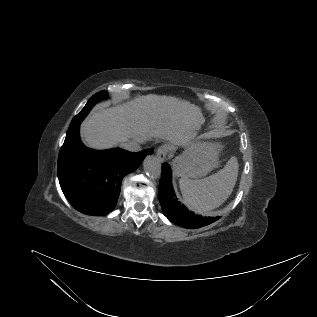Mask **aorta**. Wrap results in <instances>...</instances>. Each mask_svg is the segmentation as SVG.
I'll list each match as a JSON object with an SVG mask.
<instances>
[{
  "label": "aorta",
  "mask_w": 317,
  "mask_h": 317,
  "mask_svg": "<svg viewBox=\"0 0 317 317\" xmlns=\"http://www.w3.org/2000/svg\"><path fill=\"white\" fill-rule=\"evenodd\" d=\"M145 173L152 179H158L161 176V161L154 155H147L143 161Z\"/></svg>",
  "instance_id": "obj_1"
}]
</instances>
